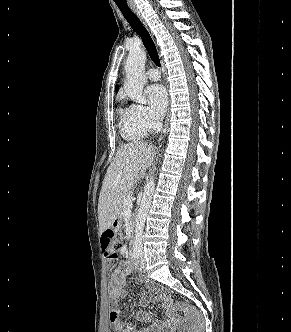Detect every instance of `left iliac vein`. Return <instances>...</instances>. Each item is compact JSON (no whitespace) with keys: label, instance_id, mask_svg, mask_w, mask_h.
I'll return each instance as SVG.
<instances>
[{"label":"left iliac vein","instance_id":"left-iliac-vein-1","mask_svg":"<svg viewBox=\"0 0 291 332\" xmlns=\"http://www.w3.org/2000/svg\"><path fill=\"white\" fill-rule=\"evenodd\" d=\"M138 267L140 271L142 272L146 271V261L144 258H140V260L138 261Z\"/></svg>","mask_w":291,"mask_h":332}]
</instances>
